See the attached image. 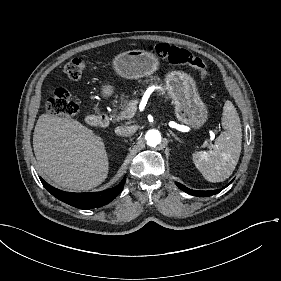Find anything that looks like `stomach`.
Instances as JSON below:
<instances>
[{
	"instance_id": "0dacf381",
	"label": "stomach",
	"mask_w": 281,
	"mask_h": 281,
	"mask_svg": "<svg viewBox=\"0 0 281 281\" xmlns=\"http://www.w3.org/2000/svg\"><path fill=\"white\" fill-rule=\"evenodd\" d=\"M114 66L122 76L137 78L153 72L157 60L150 53L130 51L117 56ZM167 84L179 120L193 126H200L205 121L207 112L197 95L193 80L185 73L174 72L168 75ZM105 92L109 93L110 89L107 88Z\"/></svg>"
}]
</instances>
